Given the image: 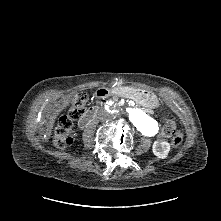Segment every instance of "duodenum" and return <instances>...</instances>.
I'll use <instances>...</instances> for the list:
<instances>
[{
  "mask_svg": "<svg viewBox=\"0 0 221 221\" xmlns=\"http://www.w3.org/2000/svg\"><path fill=\"white\" fill-rule=\"evenodd\" d=\"M114 92L117 95H126L130 93V90L128 88L122 87L115 89ZM95 95L100 100H106L110 97L111 92L106 87H100L96 90ZM100 110V107L89 108L80 118L79 126L81 128H86L93 121V119L96 117Z\"/></svg>",
  "mask_w": 221,
  "mask_h": 221,
  "instance_id": "obj_1",
  "label": "duodenum"
}]
</instances>
